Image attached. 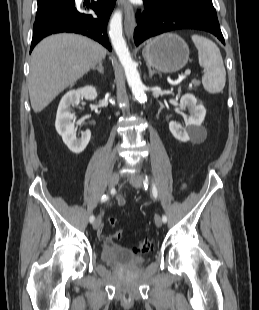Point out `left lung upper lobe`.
I'll return each mask as SVG.
<instances>
[{
  "label": "left lung upper lobe",
  "mask_w": 259,
  "mask_h": 310,
  "mask_svg": "<svg viewBox=\"0 0 259 310\" xmlns=\"http://www.w3.org/2000/svg\"><path fill=\"white\" fill-rule=\"evenodd\" d=\"M155 1H158L166 5H178V4L189 3V2H194V1L212 2L211 0H155Z\"/></svg>",
  "instance_id": "left-lung-upper-lobe-1"
}]
</instances>
